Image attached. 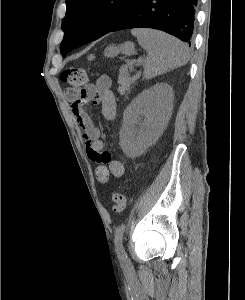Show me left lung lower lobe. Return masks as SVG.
Instances as JSON below:
<instances>
[{"label":"left lung lower lobe","instance_id":"left-lung-lower-lobe-1","mask_svg":"<svg viewBox=\"0 0 245 300\" xmlns=\"http://www.w3.org/2000/svg\"><path fill=\"white\" fill-rule=\"evenodd\" d=\"M197 2L198 0H136L126 15L107 33L130 28H153L191 45ZM98 38L100 36L89 42Z\"/></svg>","mask_w":245,"mask_h":300}]
</instances>
